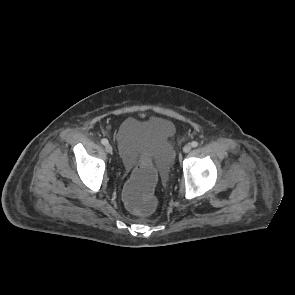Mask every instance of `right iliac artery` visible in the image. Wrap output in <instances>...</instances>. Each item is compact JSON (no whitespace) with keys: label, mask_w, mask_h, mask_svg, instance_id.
Instances as JSON below:
<instances>
[{"label":"right iliac artery","mask_w":295,"mask_h":295,"mask_svg":"<svg viewBox=\"0 0 295 295\" xmlns=\"http://www.w3.org/2000/svg\"><path fill=\"white\" fill-rule=\"evenodd\" d=\"M101 143H102L103 145H106V144H108V140L105 139V138H103V139L101 140Z\"/></svg>","instance_id":"82829eb1"}]
</instances>
